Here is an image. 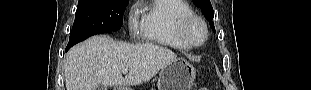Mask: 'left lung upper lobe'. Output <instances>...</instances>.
Segmentation results:
<instances>
[{"label": "left lung upper lobe", "instance_id": "left-lung-upper-lobe-1", "mask_svg": "<svg viewBox=\"0 0 311 90\" xmlns=\"http://www.w3.org/2000/svg\"><path fill=\"white\" fill-rule=\"evenodd\" d=\"M194 3L202 10V13L206 17V19L210 21V26L215 33L216 31L214 28V23L212 22L214 17V10L212 8L210 0H194Z\"/></svg>", "mask_w": 311, "mask_h": 90}]
</instances>
